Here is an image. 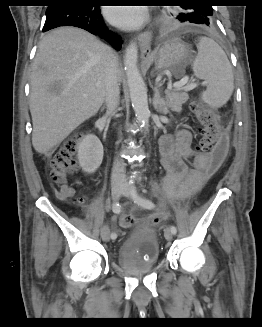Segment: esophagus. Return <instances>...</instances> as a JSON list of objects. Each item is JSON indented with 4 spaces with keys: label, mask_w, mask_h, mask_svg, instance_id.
Returning a JSON list of instances; mask_svg holds the SVG:
<instances>
[{
    "label": "esophagus",
    "mask_w": 262,
    "mask_h": 327,
    "mask_svg": "<svg viewBox=\"0 0 262 327\" xmlns=\"http://www.w3.org/2000/svg\"><path fill=\"white\" fill-rule=\"evenodd\" d=\"M141 54L143 56H149L151 54V40L152 33L150 31H145L139 34L138 36Z\"/></svg>",
    "instance_id": "esophagus-1"
}]
</instances>
